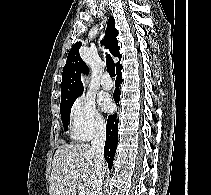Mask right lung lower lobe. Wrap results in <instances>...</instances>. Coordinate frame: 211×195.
I'll use <instances>...</instances> for the list:
<instances>
[{
	"label": "right lung lower lobe",
	"instance_id": "1",
	"mask_svg": "<svg viewBox=\"0 0 211 195\" xmlns=\"http://www.w3.org/2000/svg\"><path fill=\"white\" fill-rule=\"evenodd\" d=\"M121 69L122 68L118 69L116 72V74H117L116 90L114 91V94H113L114 101L116 102V104L119 103V99H120L119 85L122 82ZM118 122H119V118H118L117 114L110 115L108 117L107 126H106V142H105V147H104V157L108 163L109 169L112 168L113 159H114L116 148H117Z\"/></svg>",
	"mask_w": 211,
	"mask_h": 195
}]
</instances>
